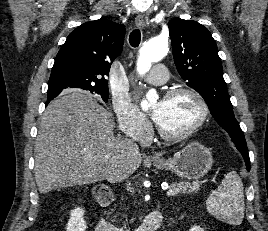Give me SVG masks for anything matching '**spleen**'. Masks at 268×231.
<instances>
[{
  "instance_id": "spleen-1",
  "label": "spleen",
  "mask_w": 268,
  "mask_h": 231,
  "mask_svg": "<svg viewBox=\"0 0 268 231\" xmlns=\"http://www.w3.org/2000/svg\"><path fill=\"white\" fill-rule=\"evenodd\" d=\"M210 214L231 225H240L244 218L243 184L236 172H229L206 201Z\"/></svg>"
}]
</instances>
